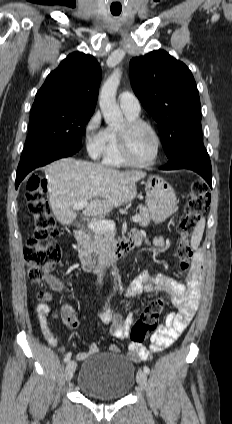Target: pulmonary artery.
I'll return each mask as SVG.
<instances>
[{"label": "pulmonary artery", "mask_w": 232, "mask_h": 424, "mask_svg": "<svg viewBox=\"0 0 232 424\" xmlns=\"http://www.w3.org/2000/svg\"><path fill=\"white\" fill-rule=\"evenodd\" d=\"M118 103L124 113L138 116L141 112V105L138 98L130 92H123L118 97Z\"/></svg>", "instance_id": "pulmonary-artery-1"}]
</instances>
